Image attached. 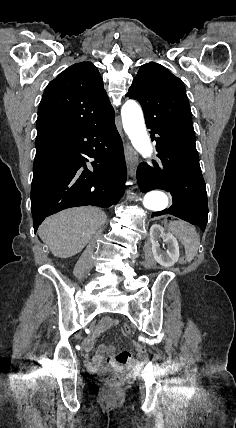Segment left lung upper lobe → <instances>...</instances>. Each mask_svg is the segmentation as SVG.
I'll return each instance as SVG.
<instances>
[{
    "label": "left lung upper lobe",
    "instance_id": "5c2ea615",
    "mask_svg": "<svg viewBox=\"0 0 236 428\" xmlns=\"http://www.w3.org/2000/svg\"><path fill=\"white\" fill-rule=\"evenodd\" d=\"M126 96L141 104L147 124L166 125L195 141L185 86L162 65L154 62L142 65Z\"/></svg>",
    "mask_w": 236,
    "mask_h": 428
}]
</instances>
